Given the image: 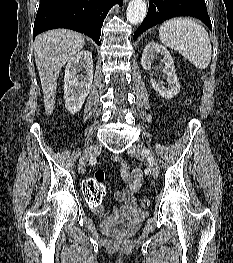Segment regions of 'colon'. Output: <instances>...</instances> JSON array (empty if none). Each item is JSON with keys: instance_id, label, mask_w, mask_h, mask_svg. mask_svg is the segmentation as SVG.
Masks as SVG:
<instances>
[{"instance_id": "5ec220e1", "label": "colon", "mask_w": 233, "mask_h": 263, "mask_svg": "<svg viewBox=\"0 0 233 263\" xmlns=\"http://www.w3.org/2000/svg\"><path fill=\"white\" fill-rule=\"evenodd\" d=\"M91 172L94 174L93 177L82 179L85 199H88L85 204L86 208H95L96 205H100L105 194V187L103 184L105 176L104 169H92ZM140 203L142 207H148L150 205V200L148 197H143Z\"/></svg>"}]
</instances>
